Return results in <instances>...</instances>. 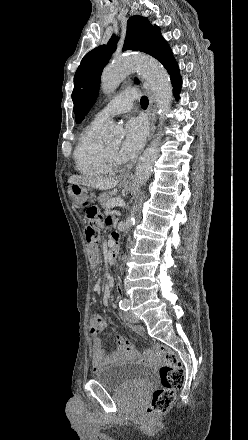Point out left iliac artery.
<instances>
[{
    "label": "left iliac artery",
    "instance_id": "obj_1",
    "mask_svg": "<svg viewBox=\"0 0 248 440\" xmlns=\"http://www.w3.org/2000/svg\"><path fill=\"white\" fill-rule=\"evenodd\" d=\"M119 307H120V309H122L124 311L129 310L130 309V302H129V300L126 299V298L121 299L119 301Z\"/></svg>",
    "mask_w": 248,
    "mask_h": 440
}]
</instances>
